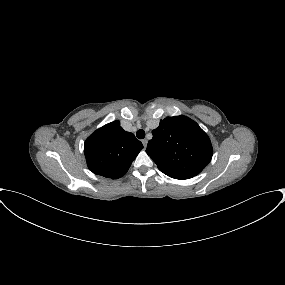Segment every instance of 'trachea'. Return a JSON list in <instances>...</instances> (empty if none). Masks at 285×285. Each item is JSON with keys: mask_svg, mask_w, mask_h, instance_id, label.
<instances>
[{"mask_svg": "<svg viewBox=\"0 0 285 285\" xmlns=\"http://www.w3.org/2000/svg\"><path fill=\"white\" fill-rule=\"evenodd\" d=\"M136 136L138 139H143L145 137V131L140 129L136 132Z\"/></svg>", "mask_w": 285, "mask_h": 285, "instance_id": "obj_1", "label": "trachea"}]
</instances>
